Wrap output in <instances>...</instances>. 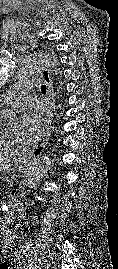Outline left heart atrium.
Returning a JSON list of instances; mask_svg holds the SVG:
<instances>
[{"instance_id": "39dd6f15", "label": "left heart atrium", "mask_w": 118, "mask_h": 269, "mask_svg": "<svg viewBox=\"0 0 118 269\" xmlns=\"http://www.w3.org/2000/svg\"><path fill=\"white\" fill-rule=\"evenodd\" d=\"M23 127L30 139L41 136L49 122L47 106L39 100L30 102L23 112Z\"/></svg>"}]
</instances>
